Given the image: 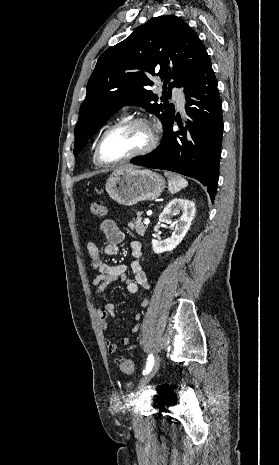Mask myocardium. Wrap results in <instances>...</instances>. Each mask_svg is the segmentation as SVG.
I'll return each mask as SVG.
<instances>
[{
  "label": "myocardium",
  "mask_w": 279,
  "mask_h": 465,
  "mask_svg": "<svg viewBox=\"0 0 279 465\" xmlns=\"http://www.w3.org/2000/svg\"><path fill=\"white\" fill-rule=\"evenodd\" d=\"M136 124L145 126L149 131V141L146 144V146H144L139 151H136V152H134L132 154H129V155H127L125 157H122L120 159H117V160H107V159H105L103 157V155H102V145H103V142H104L105 138L107 137V135L109 133H111L112 131H114L115 129L125 127V126H129V125H136ZM157 143H158V130H157L156 126L149 119L144 118V117L125 118V119H122L120 121H117V122L109 125L103 131V133L100 135V137H99V139L97 141L95 154H96L98 162L101 165L114 166V165L125 163V162L133 160L135 158L142 157V156H145V155L149 154L150 152H152L156 148Z\"/></svg>",
  "instance_id": "obj_1"
}]
</instances>
